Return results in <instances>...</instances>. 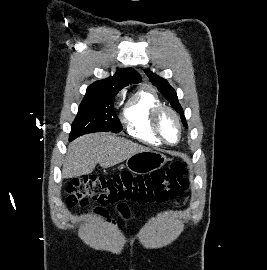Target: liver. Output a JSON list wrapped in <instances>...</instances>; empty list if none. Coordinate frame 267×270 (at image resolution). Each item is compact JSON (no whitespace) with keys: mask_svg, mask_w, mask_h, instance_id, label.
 Returning <instances> with one entry per match:
<instances>
[{"mask_svg":"<svg viewBox=\"0 0 267 270\" xmlns=\"http://www.w3.org/2000/svg\"><path fill=\"white\" fill-rule=\"evenodd\" d=\"M148 150L145 146L108 133L85 135L69 144L62 175L64 178L87 175L98 163L102 168H109Z\"/></svg>","mask_w":267,"mask_h":270,"instance_id":"obj_1","label":"liver"}]
</instances>
